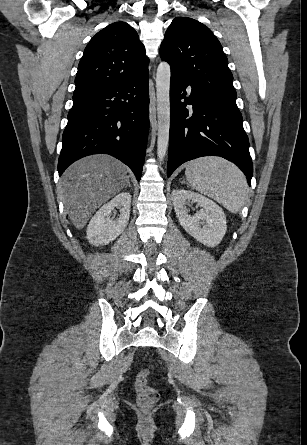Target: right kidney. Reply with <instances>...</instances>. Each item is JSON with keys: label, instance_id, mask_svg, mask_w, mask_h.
<instances>
[{"label": "right kidney", "instance_id": "1", "mask_svg": "<svg viewBox=\"0 0 307 445\" xmlns=\"http://www.w3.org/2000/svg\"><path fill=\"white\" fill-rule=\"evenodd\" d=\"M119 208V218L113 220L110 218L111 210ZM131 194L129 192H120L112 200L103 204L96 214L92 216L87 227V241L90 245H108L110 241L117 239L125 231L130 216Z\"/></svg>", "mask_w": 307, "mask_h": 445}]
</instances>
